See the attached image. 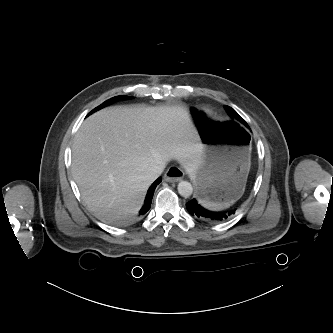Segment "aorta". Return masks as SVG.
<instances>
[{"label":"aorta","instance_id":"1","mask_svg":"<svg viewBox=\"0 0 333 333\" xmlns=\"http://www.w3.org/2000/svg\"><path fill=\"white\" fill-rule=\"evenodd\" d=\"M178 192L181 196L187 198L190 197L193 193V187L191 185V183L187 182V181H180L178 183Z\"/></svg>","mask_w":333,"mask_h":333}]
</instances>
